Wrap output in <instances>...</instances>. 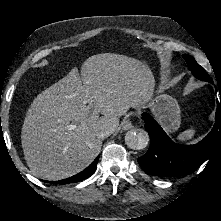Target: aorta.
Instances as JSON below:
<instances>
[{
    "label": "aorta",
    "mask_w": 221,
    "mask_h": 221,
    "mask_svg": "<svg viewBox=\"0 0 221 221\" xmlns=\"http://www.w3.org/2000/svg\"><path fill=\"white\" fill-rule=\"evenodd\" d=\"M125 143L130 149L141 150L149 143V135L144 129H132L125 135Z\"/></svg>",
    "instance_id": "aorta-1"
}]
</instances>
